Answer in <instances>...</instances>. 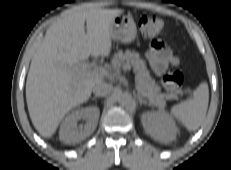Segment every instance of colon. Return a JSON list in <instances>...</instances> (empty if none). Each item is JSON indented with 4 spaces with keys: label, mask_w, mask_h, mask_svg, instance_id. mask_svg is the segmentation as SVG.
<instances>
[{
    "label": "colon",
    "mask_w": 231,
    "mask_h": 170,
    "mask_svg": "<svg viewBox=\"0 0 231 170\" xmlns=\"http://www.w3.org/2000/svg\"><path fill=\"white\" fill-rule=\"evenodd\" d=\"M137 26L142 35L153 37L160 35L164 31V22L150 15H142L137 20ZM183 75L179 71L167 74L162 78V84L171 96L182 94Z\"/></svg>",
    "instance_id": "5ec220e1"
}]
</instances>
